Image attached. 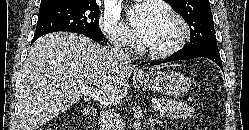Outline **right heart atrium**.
Returning a JSON list of instances; mask_svg holds the SVG:
<instances>
[{"instance_id": "right-heart-atrium-1", "label": "right heart atrium", "mask_w": 249, "mask_h": 130, "mask_svg": "<svg viewBox=\"0 0 249 130\" xmlns=\"http://www.w3.org/2000/svg\"><path fill=\"white\" fill-rule=\"evenodd\" d=\"M100 26L109 41L122 50L134 49L136 40L132 32L111 12H105L100 18Z\"/></svg>"}]
</instances>
